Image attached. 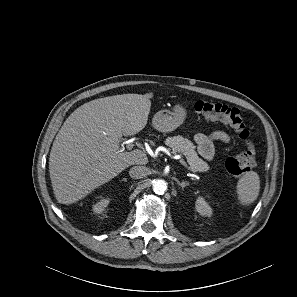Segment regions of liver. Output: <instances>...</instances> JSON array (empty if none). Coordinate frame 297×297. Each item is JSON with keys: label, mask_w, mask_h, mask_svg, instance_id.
I'll use <instances>...</instances> for the list:
<instances>
[{"label": "liver", "mask_w": 297, "mask_h": 297, "mask_svg": "<svg viewBox=\"0 0 297 297\" xmlns=\"http://www.w3.org/2000/svg\"><path fill=\"white\" fill-rule=\"evenodd\" d=\"M153 93L122 94L87 102L63 123L53 142L49 173L61 204H72L131 165H145L140 150L120 151L122 136L147 124Z\"/></svg>", "instance_id": "obj_1"}]
</instances>
